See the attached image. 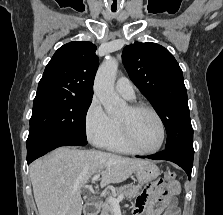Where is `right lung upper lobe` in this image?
<instances>
[{
    "label": "right lung upper lobe",
    "mask_w": 223,
    "mask_h": 215,
    "mask_svg": "<svg viewBox=\"0 0 223 215\" xmlns=\"http://www.w3.org/2000/svg\"><path fill=\"white\" fill-rule=\"evenodd\" d=\"M96 46L73 41L60 47L47 64L37 94L92 100L93 81L98 68Z\"/></svg>",
    "instance_id": "obj_1"
}]
</instances>
